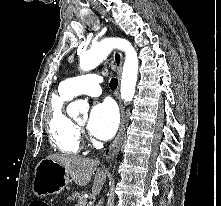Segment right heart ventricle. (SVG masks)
<instances>
[{
	"mask_svg": "<svg viewBox=\"0 0 221 206\" xmlns=\"http://www.w3.org/2000/svg\"><path fill=\"white\" fill-rule=\"evenodd\" d=\"M72 98L60 85L50 97L46 119L51 145L67 154H76L80 150L79 129L64 110L65 104Z\"/></svg>",
	"mask_w": 221,
	"mask_h": 206,
	"instance_id": "1",
	"label": "right heart ventricle"
}]
</instances>
